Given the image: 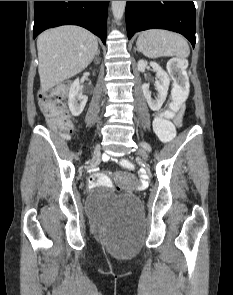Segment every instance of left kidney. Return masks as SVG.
Segmentation results:
<instances>
[{
  "label": "left kidney",
  "instance_id": "5707ae66",
  "mask_svg": "<svg viewBox=\"0 0 233 295\" xmlns=\"http://www.w3.org/2000/svg\"><path fill=\"white\" fill-rule=\"evenodd\" d=\"M149 64L157 74L155 87H156V90L158 91V96L157 98L152 99L149 86L145 83L142 85V90L150 109L153 111H158L162 107L167 97L170 78L168 74L159 66V64H157L156 62H150ZM147 65H148L147 61L139 60L137 63V68L140 72H144Z\"/></svg>",
  "mask_w": 233,
  "mask_h": 295
}]
</instances>
